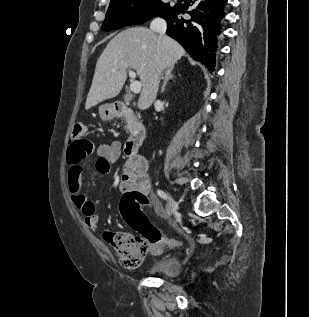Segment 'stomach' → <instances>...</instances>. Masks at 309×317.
Segmentation results:
<instances>
[{
  "label": "stomach",
  "mask_w": 309,
  "mask_h": 317,
  "mask_svg": "<svg viewBox=\"0 0 309 317\" xmlns=\"http://www.w3.org/2000/svg\"><path fill=\"white\" fill-rule=\"evenodd\" d=\"M99 115L102 120L107 121L117 117L118 112L112 105L105 104L99 107Z\"/></svg>",
  "instance_id": "0dacf381"
}]
</instances>
